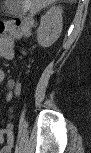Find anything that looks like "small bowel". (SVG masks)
Instances as JSON below:
<instances>
[{"label": "small bowel", "mask_w": 91, "mask_h": 153, "mask_svg": "<svg viewBox=\"0 0 91 153\" xmlns=\"http://www.w3.org/2000/svg\"><path fill=\"white\" fill-rule=\"evenodd\" d=\"M12 24V22L8 23L7 26H10ZM10 32H12V36L16 37V38H21V37H26L30 34V28L28 29H23V28H18V29H14V28H10L9 29ZM1 55L5 58H9L12 56V47L10 46H2L1 47ZM0 78L3 79L4 78V73L0 74ZM4 135L6 136L7 139V145L3 148V152L8 153L11 150V147L13 146L14 143V135L12 132L11 128H7L4 131Z\"/></svg>", "instance_id": "obj_1"}]
</instances>
